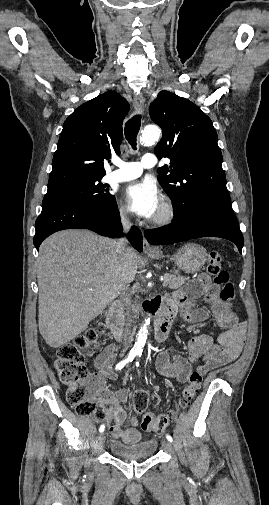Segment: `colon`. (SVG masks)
<instances>
[{"label": "colon", "mask_w": 269, "mask_h": 505, "mask_svg": "<svg viewBox=\"0 0 269 505\" xmlns=\"http://www.w3.org/2000/svg\"><path fill=\"white\" fill-rule=\"evenodd\" d=\"M207 272L213 277L214 283L221 286L220 297L224 301L232 300L235 291L229 281V275L223 269V257L213 251L209 255ZM104 326L87 330L76 337L72 342L60 347L57 357L53 362L59 380L67 387V402L82 416L94 415L98 419H105V413L98 403L100 380L96 375H91L85 366L86 356L91 355L99 346V336L103 333ZM203 379V374L198 370L191 373L188 384L183 390L180 407L185 408L196 396ZM133 407L138 414H143L142 428L148 432L162 433L172 422L174 413L154 415L147 412L148 395L145 391L138 390L133 397Z\"/></svg>", "instance_id": "1"}]
</instances>
